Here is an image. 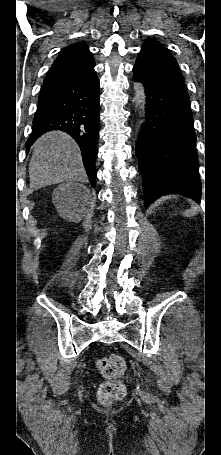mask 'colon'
Returning a JSON list of instances; mask_svg holds the SVG:
<instances>
[{
	"label": "colon",
	"mask_w": 221,
	"mask_h": 455,
	"mask_svg": "<svg viewBox=\"0 0 221 455\" xmlns=\"http://www.w3.org/2000/svg\"><path fill=\"white\" fill-rule=\"evenodd\" d=\"M97 369L106 379L98 391V398L102 404H110L120 400L125 395V385L121 381L126 363L119 355H108L101 358L97 363Z\"/></svg>",
	"instance_id": "1"
}]
</instances>
